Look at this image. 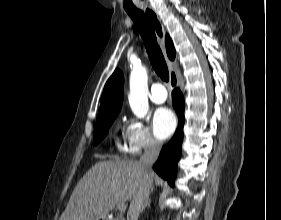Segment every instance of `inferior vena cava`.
<instances>
[{
    "label": "inferior vena cava",
    "instance_id": "inferior-vena-cava-1",
    "mask_svg": "<svg viewBox=\"0 0 281 220\" xmlns=\"http://www.w3.org/2000/svg\"><path fill=\"white\" fill-rule=\"evenodd\" d=\"M161 147L162 144L160 141L152 139L138 162L143 171V179L138 190L133 195L127 213V220H138L146 198L149 196L153 176L152 166L160 153Z\"/></svg>",
    "mask_w": 281,
    "mask_h": 220
}]
</instances>
